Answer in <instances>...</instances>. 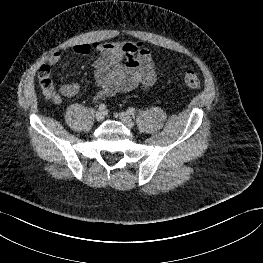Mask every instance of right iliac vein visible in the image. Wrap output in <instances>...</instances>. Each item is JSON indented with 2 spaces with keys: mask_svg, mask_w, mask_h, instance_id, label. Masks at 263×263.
<instances>
[{
  "mask_svg": "<svg viewBox=\"0 0 263 263\" xmlns=\"http://www.w3.org/2000/svg\"><path fill=\"white\" fill-rule=\"evenodd\" d=\"M95 117H96V120H97V121H102V120L104 119V117H105L104 112L101 111V110H98V111L96 112Z\"/></svg>",
  "mask_w": 263,
  "mask_h": 263,
  "instance_id": "obj_1",
  "label": "right iliac vein"
}]
</instances>
